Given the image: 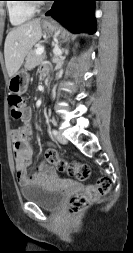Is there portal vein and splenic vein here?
<instances>
[{
	"label": "portal vein and splenic vein",
	"instance_id": "obj_1",
	"mask_svg": "<svg viewBox=\"0 0 133 253\" xmlns=\"http://www.w3.org/2000/svg\"><path fill=\"white\" fill-rule=\"evenodd\" d=\"M43 52H44V47L43 46L38 47L36 50V55H41Z\"/></svg>",
	"mask_w": 133,
	"mask_h": 253
}]
</instances>
